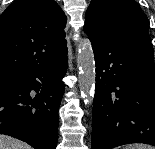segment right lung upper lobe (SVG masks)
Returning a JSON list of instances; mask_svg holds the SVG:
<instances>
[{
  "mask_svg": "<svg viewBox=\"0 0 155 149\" xmlns=\"http://www.w3.org/2000/svg\"><path fill=\"white\" fill-rule=\"evenodd\" d=\"M66 16L54 0H16L0 16V70L23 74L67 53Z\"/></svg>",
  "mask_w": 155,
  "mask_h": 149,
  "instance_id": "1",
  "label": "right lung upper lobe"
}]
</instances>
